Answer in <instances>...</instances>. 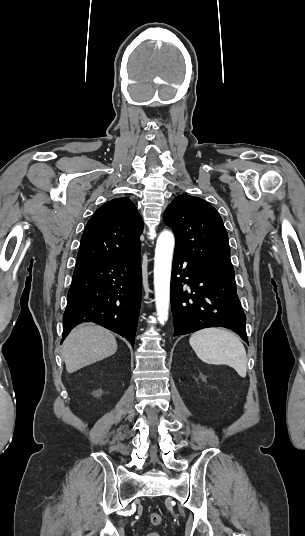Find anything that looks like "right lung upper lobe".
I'll list each match as a JSON object with an SVG mask.
<instances>
[{"instance_id": "right-lung-upper-lobe-1", "label": "right lung upper lobe", "mask_w": 305, "mask_h": 536, "mask_svg": "<svg viewBox=\"0 0 305 536\" xmlns=\"http://www.w3.org/2000/svg\"><path fill=\"white\" fill-rule=\"evenodd\" d=\"M142 230V218L128 198L109 201L88 221L75 269L139 253Z\"/></svg>"}]
</instances>
